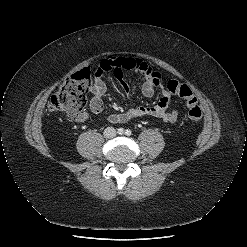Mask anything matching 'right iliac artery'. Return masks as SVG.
Here are the masks:
<instances>
[{
    "instance_id": "obj_1",
    "label": "right iliac artery",
    "mask_w": 247,
    "mask_h": 247,
    "mask_svg": "<svg viewBox=\"0 0 247 247\" xmlns=\"http://www.w3.org/2000/svg\"><path fill=\"white\" fill-rule=\"evenodd\" d=\"M117 133H118V134H123V133H124V129H123V128H119V129L117 130Z\"/></svg>"
}]
</instances>
